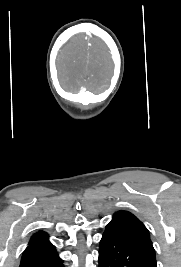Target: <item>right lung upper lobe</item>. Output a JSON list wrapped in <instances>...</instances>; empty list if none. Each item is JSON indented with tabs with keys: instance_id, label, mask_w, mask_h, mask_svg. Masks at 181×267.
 <instances>
[{
	"instance_id": "1",
	"label": "right lung upper lobe",
	"mask_w": 181,
	"mask_h": 267,
	"mask_svg": "<svg viewBox=\"0 0 181 267\" xmlns=\"http://www.w3.org/2000/svg\"><path fill=\"white\" fill-rule=\"evenodd\" d=\"M28 247H45L53 248L54 246L49 242L48 235L45 232H38L34 234L29 242Z\"/></svg>"
}]
</instances>
